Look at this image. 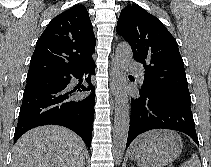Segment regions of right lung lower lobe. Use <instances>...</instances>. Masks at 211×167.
I'll return each instance as SVG.
<instances>
[{
    "mask_svg": "<svg viewBox=\"0 0 211 167\" xmlns=\"http://www.w3.org/2000/svg\"><path fill=\"white\" fill-rule=\"evenodd\" d=\"M90 73L88 86L69 91L67 86L75 77L80 79ZM95 72V63L44 77L52 86L24 90L14 143L28 130L42 125H60L77 133L88 148L91 146L95 93L90 76ZM91 91L84 98L75 99L78 92Z\"/></svg>",
    "mask_w": 211,
    "mask_h": 167,
    "instance_id": "right-lung-lower-lobe-1",
    "label": "right lung lower lobe"
}]
</instances>
